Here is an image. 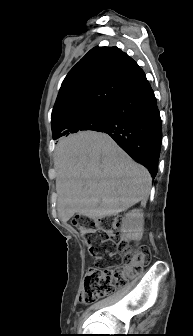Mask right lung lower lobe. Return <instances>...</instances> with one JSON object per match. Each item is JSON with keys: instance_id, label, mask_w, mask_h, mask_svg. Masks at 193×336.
<instances>
[{"instance_id": "obj_1", "label": "right lung lower lobe", "mask_w": 193, "mask_h": 336, "mask_svg": "<svg viewBox=\"0 0 193 336\" xmlns=\"http://www.w3.org/2000/svg\"><path fill=\"white\" fill-rule=\"evenodd\" d=\"M99 131L109 134L153 178L156 176L162 125L154 92L142 69L115 99Z\"/></svg>"}]
</instances>
